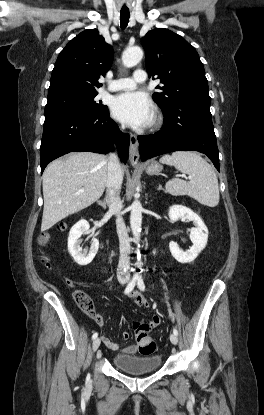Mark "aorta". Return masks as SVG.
<instances>
[{
    "label": "aorta",
    "mask_w": 264,
    "mask_h": 415,
    "mask_svg": "<svg viewBox=\"0 0 264 415\" xmlns=\"http://www.w3.org/2000/svg\"><path fill=\"white\" fill-rule=\"evenodd\" d=\"M143 57V51L139 47H130L123 52L122 63L125 67L137 65ZM142 204L139 200H134L131 205L130 225L134 236V241L139 243L141 224H142ZM141 257L138 255V264L141 265Z\"/></svg>",
    "instance_id": "aorta-1"
}]
</instances>
